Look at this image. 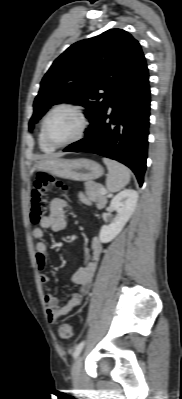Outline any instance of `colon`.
Wrapping results in <instances>:
<instances>
[{
  "instance_id": "5ec220e1",
  "label": "colon",
  "mask_w": 182,
  "mask_h": 399,
  "mask_svg": "<svg viewBox=\"0 0 182 399\" xmlns=\"http://www.w3.org/2000/svg\"><path fill=\"white\" fill-rule=\"evenodd\" d=\"M51 190L65 193L67 187L53 176L44 172H39L31 191L30 219L33 224L40 223L45 217L48 208L47 193ZM58 334L62 339L70 340L73 337L72 326L68 323H61L58 326Z\"/></svg>"
}]
</instances>
